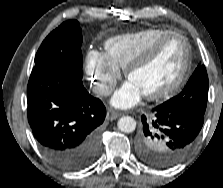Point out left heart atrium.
Instances as JSON below:
<instances>
[{"label":"left heart atrium","mask_w":223,"mask_h":188,"mask_svg":"<svg viewBox=\"0 0 223 188\" xmlns=\"http://www.w3.org/2000/svg\"><path fill=\"white\" fill-rule=\"evenodd\" d=\"M143 93L130 80L126 82L112 97V104L118 108H130L136 105Z\"/></svg>","instance_id":"39dd6f15"}]
</instances>
